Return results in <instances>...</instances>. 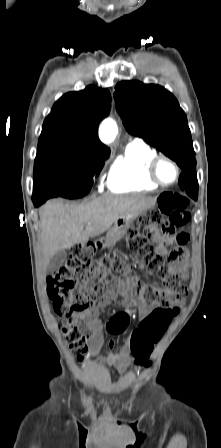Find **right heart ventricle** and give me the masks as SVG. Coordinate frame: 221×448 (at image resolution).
<instances>
[{
	"label": "right heart ventricle",
	"mask_w": 221,
	"mask_h": 448,
	"mask_svg": "<svg viewBox=\"0 0 221 448\" xmlns=\"http://www.w3.org/2000/svg\"><path fill=\"white\" fill-rule=\"evenodd\" d=\"M155 156H157L156 151L145 143L128 144L110 168L109 190L115 193H127L159 188L160 186L148 177V166Z\"/></svg>",
	"instance_id": "e07e8e85"
}]
</instances>
